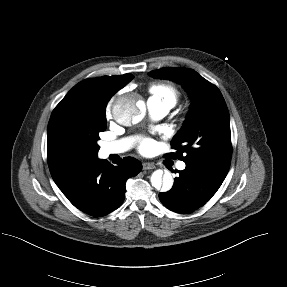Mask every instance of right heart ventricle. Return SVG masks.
<instances>
[{"instance_id":"1","label":"right heart ventricle","mask_w":287,"mask_h":287,"mask_svg":"<svg viewBox=\"0 0 287 287\" xmlns=\"http://www.w3.org/2000/svg\"><path fill=\"white\" fill-rule=\"evenodd\" d=\"M150 99L167 103L173 107L179 98L177 88L169 83H153L149 87Z\"/></svg>"}]
</instances>
